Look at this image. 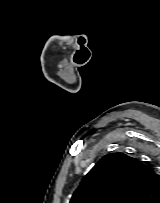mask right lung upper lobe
<instances>
[{"instance_id": "1", "label": "right lung upper lobe", "mask_w": 160, "mask_h": 203, "mask_svg": "<svg viewBox=\"0 0 160 203\" xmlns=\"http://www.w3.org/2000/svg\"><path fill=\"white\" fill-rule=\"evenodd\" d=\"M160 196V176L124 153L105 155L84 177L70 203H150Z\"/></svg>"}]
</instances>
